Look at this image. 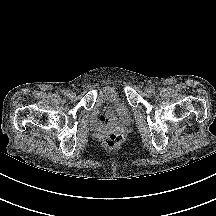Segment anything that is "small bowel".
<instances>
[{
    "label": "small bowel",
    "mask_w": 216,
    "mask_h": 216,
    "mask_svg": "<svg viewBox=\"0 0 216 216\" xmlns=\"http://www.w3.org/2000/svg\"><path fill=\"white\" fill-rule=\"evenodd\" d=\"M109 114H111V113H109L108 111H105V112H103L102 114H99V115L97 116V120H98L99 122H105V121L108 120Z\"/></svg>",
    "instance_id": "c3829d8e"
}]
</instances>
